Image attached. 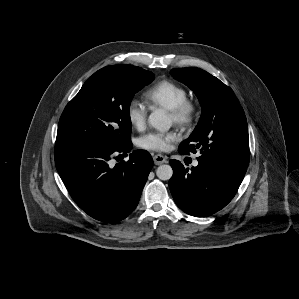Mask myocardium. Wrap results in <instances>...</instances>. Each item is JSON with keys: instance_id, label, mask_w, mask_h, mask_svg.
<instances>
[{"instance_id": "obj_1", "label": "myocardium", "mask_w": 299, "mask_h": 299, "mask_svg": "<svg viewBox=\"0 0 299 299\" xmlns=\"http://www.w3.org/2000/svg\"><path fill=\"white\" fill-rule=\"evenodd\" d=\"M172 121L184 128L192 127L199 116V106L196 102L185 100L175 109L170 110Z\"/></svg>"}]
</instances>
